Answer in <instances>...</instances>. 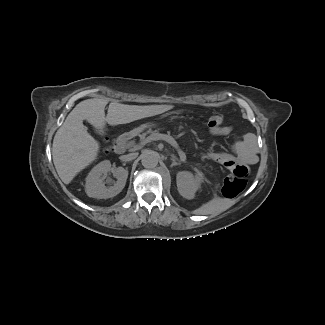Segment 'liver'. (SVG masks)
Returning <instances> with one entry per match:
<instances>
[{"mask_svg":"<svg viewBox=\"0 0 325 325\" xmlns=\"http://www.w3.org/2000/svg\"><path fill=\"white\" fill-rule=\"evenodd\" d=\"M108 100L93 98L81 101L68 114L57 130L52 146V157L60 179L69 184L84 168L98 156L100 145L89 133L83 120L96 129L103 131L106 123L119 125L142 118L162 114L173 105H125L117 102L109 104L107 116L105 106Z\"/></svg>","mask_w":325,"mask_h":325,"instance_id":"1","label":"liver"}]
</instances>
